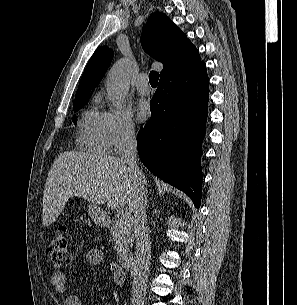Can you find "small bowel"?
Segmentation results:
<instances>
[{"instance_id": "c3829d8e", "label": "small bowel", "mask_w": 297, "mask_h": 305, "mask_svg": "<svg viewBox=\"0 0 297 305\" xmlns=\"http://www.w3.org/2000/svg\"><path fill=\"white\" fill-rule=\"evenodd\" d=\"M104 261V252L99 249H92L86 254V263L89 266H97ZM112 278L116 284H122L125 278L123 270L115 263L110 264ZM51 286L58 292H65L68 289L69 281L64 272L57 271L53 273L51 278ZM113 300L116 305H121V296L114 293ZM64 305H82L80 298L75 294H67Z\"/></svg>"}]
</instances>
